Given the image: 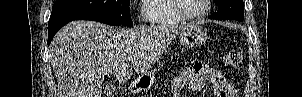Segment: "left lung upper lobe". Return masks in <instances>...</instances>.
<instances>
[{
    "label": "left lung upper lobe",
    "mask_w": 302,
    "mask_h": 97,
    "mask_svg": "<svg viewBox=\"0 0 302 97\" xmlns=\"http://www.w3.org/2000/svg\"><path fill=\"white\" fill-rule=\"evenodd\" d=\"M219 7L218 11L212 14L218 20L233 19L243 21L244 5L243 0H214Z\"/></svg>",
    "instance_id": "obj_1"
}]
</instances>
